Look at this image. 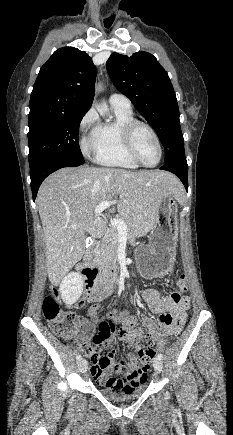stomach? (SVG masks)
Wrapping results in <instances>:
<instances>
[{"instance_id": "stomach-1", "label": "stomach", "mask_w": 233, "mask_h": 435, "mask_svg": "<svg viewBox=\"0 0 233 435\" xmlns=\"http://www.w3.org/2000/svg\"><path fill=\"white\" fill-rule=\"evenodd\" d=\"M178 205L173 195L158 207L156 220L150 230L149 244L135 251L137 270L141 277L153 279L168 274L175 261L178 241Z\"/></svg>"}]
</instances>
